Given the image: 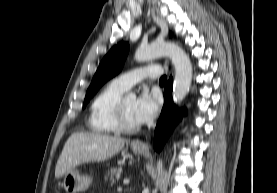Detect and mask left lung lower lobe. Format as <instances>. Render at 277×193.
<instances>
[{
    "mask_svg": "<svg viewBox=\"0 0 277 193\" xmlns=\"http://www.w3.org/2000/svg\"><path fill=\"white\" fill-rule=\"evenodd\" d=\"M172 88L173 79L170 78L164 90V106L162 108L160 119L157 123L155 129L154 137V149L160 151L164 143L168 139L170 133L172 132L180 114L177 111V107L172 101ZM185 113V110L182 114Z\"/></svg>",
    "mask_w": 277,
    "mask_h": 193,
    "instance_id": "0a47b994",
    "label": "left lung lower lobe"
}]
</instances>
